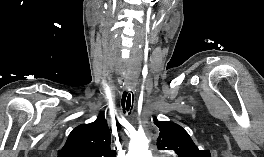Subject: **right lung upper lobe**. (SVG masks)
<instances>
[{"instance_id":"right-lung-upper-lobe-1","label":"right lung upper lobe","mask_w":264,"mask_h":157,"mask_svg":"<svg viewBox=\"0 0 264 157\" xmlns=\"http://www.w3.org/2000/svg\"><path fill=\"white\" fill-rule=\"evenodd\" d=\"M58 157H116V151L110 149V130L104 115L73 129Z\"/></svg>"}]
</instances>
